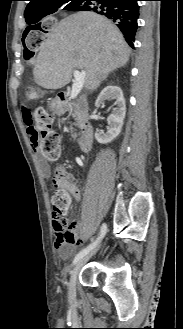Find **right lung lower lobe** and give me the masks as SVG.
I'll return each mask as SVG.
<instances>
[{
  "label": "right lung lower lobe",
  "instance_id": "right-lung-lower-lobe-1",
  "mask_svg": "<svg viewBox=\"0 0 183 329\" xmlns=\"http://www.w3.org/2000/svg\"><path fill=\"white\" fill-rule=\"evenodd\" d=\"M139 0H81L68 11H94L111 19L124 34V38L134 47L138 28Z\"/></svg>",
  "mask_w": 183,
  "mask_h": 329
}]
</instances>
